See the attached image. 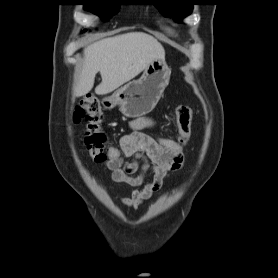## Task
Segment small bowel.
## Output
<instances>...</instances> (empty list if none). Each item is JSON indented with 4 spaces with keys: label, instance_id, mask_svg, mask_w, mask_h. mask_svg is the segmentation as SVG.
<instances>
[{
    "label": "small bowel",
    "instance_id": "small-bowel-1",
    "mask_svg": "<svg viewBox=\"0 0 278 278\" xmlns=\"http://www.w3.org/2000/svg\"><path fill=\"white\" fill-rule=\"evenodd\" d=\"M154 126L155 122L150 118L133 120L129 131L119 140L120 157L104 162L114 183L135 187L128 196L121 198L124 205L134 209L159 190L170 173L179 170L184 162L183 155L168 151L158 140L144 133ZM148 173L151 178L146 181Z\"/></svg>",
    "mask_w": 278,
    "mask_h": 278
}]
</instances>
